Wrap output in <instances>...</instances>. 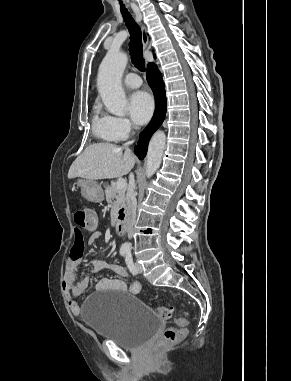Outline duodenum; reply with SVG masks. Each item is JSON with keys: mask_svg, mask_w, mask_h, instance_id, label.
Segmentation results:
<instances>
[{"mask_svg": "<svg viewBox=\"0 0 291 381\" xmlns=\"http://www.w3.org/2000/svg\"><path fill=\"white\" fill-rule=\"evenodd\" d=\"M115 230L119 236H123L127 230V215L126 209L122 208L119 210L115 221Z\"/></svg>", "mask_w": 291, "mask_h": 381, "instance_id": "410a0bca", "label": "duodenum"}]
</instances>
